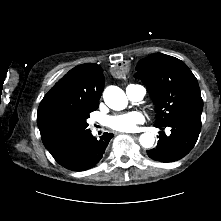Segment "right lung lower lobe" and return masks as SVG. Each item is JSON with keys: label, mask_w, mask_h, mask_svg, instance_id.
<instances>
[{"label": "right lung lower lobe", "mask_w": 221, "mask_h": 221, "mask_svg": "<svg viewBox=\"0 0 221 221\" xmlns=\"http://www.w3.org/2000/svg\"><path fill=\"white\" fill-rule=\"evenodd\" d=\"M112 137V133H104L97 140L88 130L67 146L50 153L63 167L73 171H84L100 161Z\"/></svg>", "instance_id": "1"}]
</instances>
